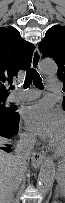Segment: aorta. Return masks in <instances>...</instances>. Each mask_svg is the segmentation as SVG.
Listing matches in <instances>:
<instances>
[{
	"mask_svg": "<svg viewBox=\"0 0 65 203\" xmlns=\"http://www.w3.org/2000/svg\"><path fill=\"white\" fill-rule=\"evenodd\" d=\"M40 71L46 75H52L57 72V65L52 59H44L40 63ZM55 180V164L52 159H45L41 166L38 175L37 186L40 193L46 196Z\"/></svg>",
	"mask_w": 65,
	"mask_h": 203,
	"instance_id": "1",
	"label": "aorta"
}]
</instances>
